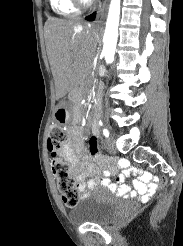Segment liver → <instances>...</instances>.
Masks as SVG:
<instances>
[{"mask_svg": "<svg viewBox=\"0 0 183 246\" xmlns=\"http://www.w3.org/2000/svg\"><path fill=\"white\" fill-rule=\"evenodd\" d=\"M97 42L98 34L85 24L56 18L48 20L46 49L57 98L67 94L90 66Z\"/></svg>", "mask_w": 183, "mask_h": 246, "instance_id": "6515ba94", "label": "liver"}]
</instances>
